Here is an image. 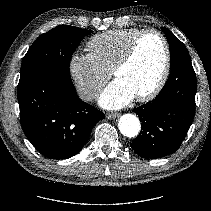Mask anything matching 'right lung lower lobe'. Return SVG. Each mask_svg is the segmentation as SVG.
<instances>
[{
	"mask_svg": "<svg viewBox=\"0 0 211 211\" xmlns=\"http://www.w3.org/2000/svg\"><path fill=\"white\" fill-rule=\"evenodd\" d=\"M21 126L31 144L49 159L79 153L104 113L83 102L71 77L34 73L18 84Z\"/></svg>",
	"mask_w": 211,
	"mask_h": 211,
	"instance_id": "1",
	"label": "right lung lower lobe"
}]
</instances>
